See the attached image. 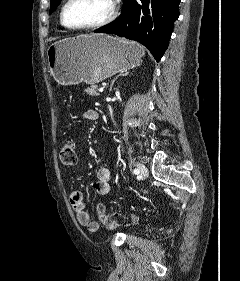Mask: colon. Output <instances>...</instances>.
<instances>
[{
	"instance_id": "1",
	"label": "colon",
	"mask_w": 240,
	"mask_h": 281,
	"mask_svg": "<svg viewBox=\"0 0 240 281\" xmlns=\"http://www.w3.org/2000/svg\"><path fill=\"white\" fill-rule=\"evenodd\" d=\"M60 162L63 166L73 168L78 163L75 146L71 141H65L59 152ZM101 221L109 228H115L123 223V217L117 212L105 213L104 208L99 206Z\"/></svg>"
}]
</instances>
